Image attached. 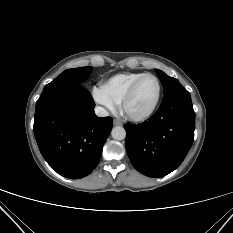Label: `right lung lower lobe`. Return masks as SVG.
<instances>
[{"instance_id":"obj_1","label":"right lung lower lobe","mask_w":233,"mask_h":233,"mask_svg":"<svg viewBox=\"0 0 233 233\" xmlns=\"http://www.w3.org/2000/svg\"><path fill=\"white\" fill-rule=\"evenodd\" d=\"M81 84L45 88L37 100L34 135L40 152L61 176L79 179L97 166L112 129L111 117H97Z\"/></svg>"}]
</instances>
